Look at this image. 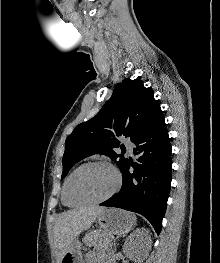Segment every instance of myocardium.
Wrapping results in <instances>:
<instances>
[{
    "label": "myocardium",
    "mask_w": 220,
    "mask_h": 263,
    "mask_svg": "<svg viewBox=\"0 0 220 263\" xmlns=\"http://www.w3.org/2000/svg\"><path fill=\"white\" fill-rule=\"evenodd\" d=\"M94 165H102V166H106L108 167L115 175V185L112 188V190L110 192H108L105 196L95 199V200H90V201H85V202H73L70 199L69 196V187H70V183L73 179V177L81 170H83L84 168H87L89 166H94ZM122 184V177L120 172L117 170V168H115L111 163L104 161V160H95V161H90L87 163H84L82 165H80L79 167H77L67 178L66 183H65V188H64V199L65 202L72 207H81V206H87V205H94V204H100L103 203L105 201H107L108 199H110L112 196H114L118 190L120 189Z\"/></svg>",
    "instance_id": "obj_1"
}]
</instances>
